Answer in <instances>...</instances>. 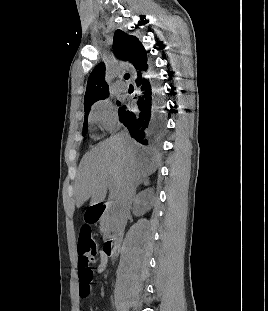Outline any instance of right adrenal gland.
<instances>
[{"label":"right adrenal gland","instance_id":"obj_1","mask_svg":"<svg viewBox=\"0 0 268 311\" xmlns=\"http://www.w3.org/2000/svg\"><path fill=\"white\" fill-rule=\"evenodd\" d=\"M141 184H144L145 186L149 185V179L144 178V179L139 180L136 187H139Z\"/></svg>","mask_w":268,"mask_h":311}]
</instances>
